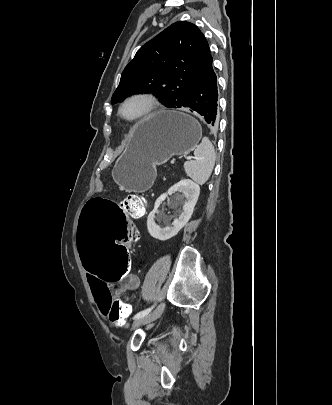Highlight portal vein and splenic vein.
<instances>
[{
    "mask_svg": "<svg viewBox=\"0 0 332 405\" xmlns=\"http://www.w3.org/2000/svg\"><path fill=\"white\" fill-rule=\"evenodd\" d=\"M191 158H192V157H187L186 159H187V160H191Z\"/></svg>",
    "mask_w": 332,
    "mask_h": 405,
    "instance_id": "1",
    "label": "portal vein and splenic vein"
}]
</instances>
